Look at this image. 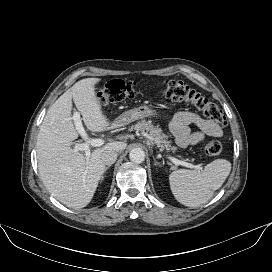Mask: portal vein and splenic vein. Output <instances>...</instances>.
I'll return each instance as SVG.
<instances>
[{
	"label": "portal vein and splenic vein",
	"mask_w": 272,
	"mask_h": 272,
	"mask_svg": "<svg viewBox=\"0 0 272 272\" xmlns=\"http://www.w3.org/2000/svg\"><path fill=\"white\" fill-rule=\"evenodd\" d=\"M72 119L74 121V125L76 130L78 131V133L81 135V137L85 140L84 143L81 144H77L74 146V148L72 149L73 152H78V151H84L86 156L89 157L90 156V146L93 147H100L104 144V141L102 139H98V138H89L88 135L86 134L83 126H82V122H81V118H80V113L79 112H74ZM170 160L175 164V165H182L191 169H195L198 171H202L203 168L200 165H193L191 163L182 161V160H178L176 158L170 157Z\"/></svg>",
	"instance_id": "1"
}]
</instances>
